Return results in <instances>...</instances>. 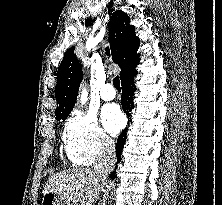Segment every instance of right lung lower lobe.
<instances>
[{
	"label": "right lung lower lobe",
	"mask_w": 222,
	"mask_h": 205,
	"mask_svg": "<svg viewBox=\"0 0 222 205\" xmlns=\"http://www.w3.org/2000/svg\"><path fill=\"white\" fill-rule=\"evenodd\" d=\"M135 75H137V71L134 73H131L126 78L121 80L122 93H123V95L121 97V104H122L123 110L127 114V116H130V114H131L130 112H131L132 108L134 107V103L132 101V95L136 89L134 86V82H133ZM126 133H127V130L126 129L123 130L117 139V144H116L117 163H119L121 160V152H122L123 146H124L126 138H127ZM110 178L115 179V171H113L110 174Z\"/></svg>",
	"instance_id": "right-lung-lower-lobe-1"
}]
</instances>
